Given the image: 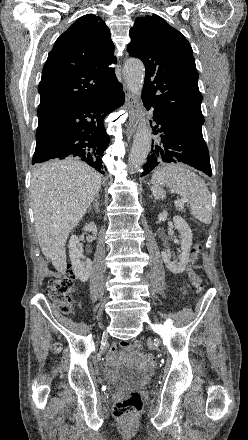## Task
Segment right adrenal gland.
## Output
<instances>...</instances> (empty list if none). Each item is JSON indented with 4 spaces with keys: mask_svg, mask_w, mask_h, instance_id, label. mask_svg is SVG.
I'll return each instance as SVG.
<instances>
[{
    "mask_svg": "<svg viewBox=\"0 0 248 440\" xmlns=\"http://www.w3.org/2000/svg\"><path fill=\"white\" fill-rule=\"evenodd\" d=\"M99 206H100L99 195H96L95 200L93 202V205L91 207H89L88 211H90L93 207V208H95V211L97 213H99L100 212Z\"/></svg>",
    "mask_w": 248,
    "mask_h": 440,
    "instance_id": "2a0ac1e0",
    "label": "right adrenal gland"
}]
</instances>
